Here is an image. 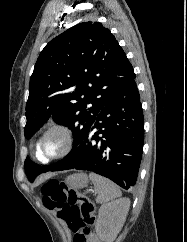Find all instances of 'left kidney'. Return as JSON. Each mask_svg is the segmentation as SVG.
<instances>
[{
  "label": "left kidney",
  "instance_id": "1",
  "mask_svg": "<svg viewBox=\"0 0 187 242\" xmlns=\"http://www.w3.org/2000/svg\"><path fill=\"white\" fill-rule=\"evenodd\" d=\"M130 207L128 198L103 204L98 213L96 233L102 242H113L126 220Z\"/></svg>",
  "mask_w": 187,
  "mask_h": 242
}]
</instances>
